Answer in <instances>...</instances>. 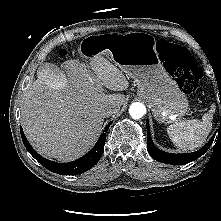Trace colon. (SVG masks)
<instances>
[{"mask_svg": "<svg viewBox=\"0 0 221 221\" xmlns=\"http://www.w3.org/2000/svg\"><path fill=\"white\" fill-rule=\"evenodd\" d=\"M158 51L165 57V66L176 79L180 89L188 95L197 94L200 89L202 71L191 53L185 49L159 40ZM60 56L65 57L66 51L61 50Z\"/></svg>", "mask_w": 221, "mask_h": 221, "instance_id": "colon-1", "label": "colon"}]
</instances>
